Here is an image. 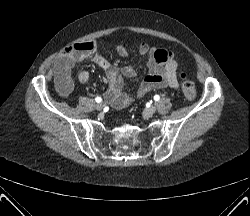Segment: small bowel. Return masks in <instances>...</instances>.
<instances>
[{"label": "small bowel", "mask_w": 250, "mask_h": 216, "mask_svg": "<svg viewBox=\"0 0 250 216\" xmlns=\"http://www.w3.org/2000/svg\"><path fill=\"white\" fill-rule=\"evenodd\" d=\"M116 50L120 56L127 55V50L123 45H117ZM138 50L148 58V74L138 87L136 97H143L156 88L179 87L178 64L172 52L151 47L146 42L139 43ZM86 58H91L96 65L104 70L108 83L106 98L111 104L117 109H123L128 106L133 98L123 91L122 78H134L136 76L135 69L132 67L115 68L104 56L97 53L96 44L93 41L75 44L58 59L56 64V86L59 92L62 95H69L72 92L73 82L69 76L70 68L75 62ZM78 80L81 83L88 82L89 73L81 71L78 74Z\"/></svg>", "instance_id": "1"}]
</instances>
